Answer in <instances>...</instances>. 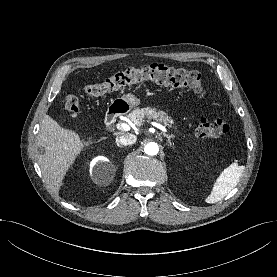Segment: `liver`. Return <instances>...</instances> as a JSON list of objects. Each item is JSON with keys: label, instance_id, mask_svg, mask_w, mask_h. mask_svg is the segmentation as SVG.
<instances>
[{"label": "liver", "instance_id": "obj_1", "mask_svg": "<svg viewBox=\"0 0 277 277\" xmlns=\"http://www.w3.org/2000/svg\"><path fill=\"white\" fill-rule=\"evenodd\" d=\"M92 143V140L81 141L77 132L63 128L49 115L44 116L37 144L44 148L45 152L38 155V164L44 181L53 192L59 191L69 168L85 147Z\"/></svg>", "mask_w": 277, "mask_h": 277}]
</instances>
